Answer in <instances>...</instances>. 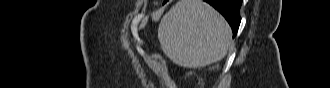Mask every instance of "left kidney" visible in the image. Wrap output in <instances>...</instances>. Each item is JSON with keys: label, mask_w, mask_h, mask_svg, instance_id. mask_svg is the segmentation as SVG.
Instances as JSON below:
<instances>
[{"label": "left kidney", "mask_w": 330, "mask_h": 88, "mask_svg": "<svg viewBox=\"0 0 330 88\" xmlns=\"http://www.w3.org/2000/svg\"><path fill=\"white\" fill-rule=\"evenodd\" d=\"M214 68L218 69V68H219V65H217V66L213 67V70H214Z\"/></svg>", "instance_id": "1"}]
</instances>
